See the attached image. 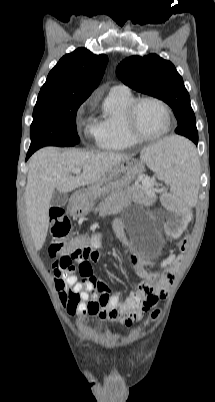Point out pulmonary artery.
<instances>
[{
    "instance_id": "e3ab8cb5",
    "label": "pulmonary artery",
    "mask_w": 215,
    "mask_h": 402,
    "mask_svg": "<svg viewBox=\"0 0 215 402\" xmlns=\"http://www.w3.org/2000/svg\"><path fill=\"white\" fill-rule=\"evenodd\" d=\"M112 89L128 90V87H126L124 85H116Z\"/></svg>"
}]
</instances>
